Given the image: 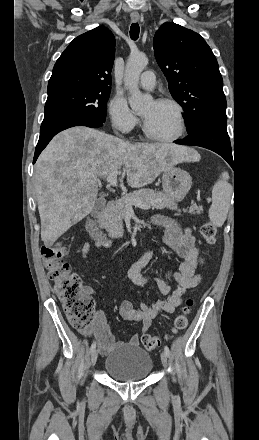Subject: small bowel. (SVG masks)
<instances>
[{
	"instance_id": "1",
	"label": "small bowel",
	"mask_w": 259,
	"mask_h": 440,
	"mask_svg": "<svg viewBox=\"0 0 259 440\" xmlns=\"http://www.w3.org/2000/svg\"><path fill=\"white\" fill-rule=\"evenodd\" d=\"M152 223L155 226L163 227L165 234L162 238L163 244L170 249L178 258L176 270L172 273V279L176 283V288H172L169 280H164L157 276H144L142 270L154 257V251L145 252L129 268L126 279L139 287L153 284L166 298L154 303H140L135 307L129 300H124L119 308V314L124 320L140 322L142 325V335L134 333L129 340L131 346H138L140 338L149 329L154 318L161 312L172 313L177 306L182 303L183 295L187 290L195 288L201 280L198 268L203 264L204 258L196 246L195 237L189 228H182L175 220L164 217L154 216ZM98 249L108 248L111 241L95 240ZM90 244L83 243L77 250V255L85 262H88V252ZM87 337H95L100 353L107 354L112 349L122 345V342L115 341L114 336L109 330L103 312L99 311L90 327L81 330Z\"/></svg>"
}]
</instances>
